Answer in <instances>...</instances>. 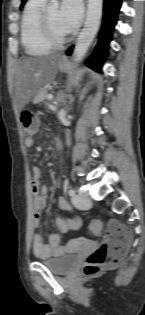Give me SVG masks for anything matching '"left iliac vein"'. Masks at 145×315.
<instances>
[{"instance_id": "4c4485c4", "label": "left iliac vein", "mask_w": 145, "mask_h": 315, "mask_svg": "<svg viewBox=\"0 0 145 315\" xmlns=\"http://www.w3.org/2000/svg\"><path fill=\"white\" fill-rule=\"evenodd\" d=\"M73 204L80 209H86L91 205V199L86 194H77L72 197Z\"/></svg>"}]
</instances>
